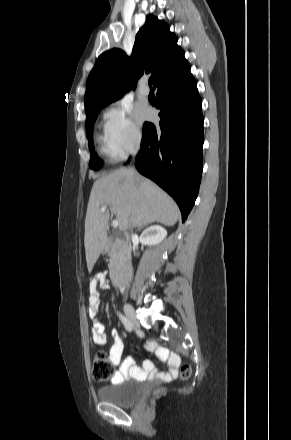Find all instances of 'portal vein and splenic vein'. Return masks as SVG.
<instances>
[{"instance_id": "portal-vein-and-splenic-vein-1", "label": "portal vein and splenic vein", "mask_w": 291, "mask_h": 440, "mask_svg": "<svg viewBox=\"0 0 291 440\" xmlns=\"http://www.w3.org/2000/svg\"><path fill=\"white\" fill-rule=\"evenodd\" d=\"M106 209H107V206H102V207L100 208L101 212H105ZM112 226H113L114 228H117V227L119 226V222H118L117 220H114V221L112 222Z\"/></svg>"}]
</instances>
